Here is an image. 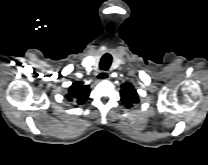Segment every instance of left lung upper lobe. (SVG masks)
Here are the masks:
<instances>
[{"mask_svg": "<svg viewBox=\"0 0 208 165\" xmlns=\"http://www.w3.org/2000/svg\"><path fill=\"white\" fill-rule=\"evenodd\" d=\"M121 101L127 107H133L134 104L139 103V98L136 90L130 83H125L121 85Z\"/></svg>", "mask_w": 208, "mask_h": 165, "instance_id": "1", "label": "left lung upper lobe"}]
</instances>
